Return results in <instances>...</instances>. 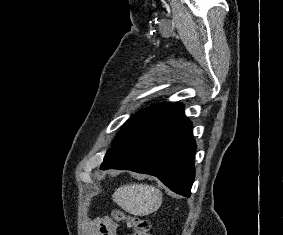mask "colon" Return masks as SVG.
Returning a JSON list of instances; mask_svg holds the SVG:
<instances>
[{"mask_svg": "<svg viewBox=\"0 0 283 235\" xmlns=\"http://www.w3.org/2000/svg\"><path fill=\"white\" fill-rule=\"evenodd\" d=\"M112 218L118 222H126L133 229L132 235H150V222L145 218L130 217L119 210L112 212Z\"/></svg>", "mask_w": 283, "mask_h": 235, "instance_id": "5ec220e1", "label": "colon"}]
</instances>
